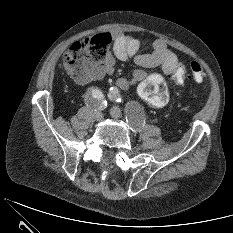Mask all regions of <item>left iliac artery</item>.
<instances>
[{"label": "left iliac artery", "mask_w": 233, "mask_h": 233, "mask_svg": "<svg viewBox=\"0 0 233 233\" xmlns=\"http://www.w3.org/2000/svg\"><path fill=\"white\" fill-rule=\"evenodd\" d=\"M110 100L115 101L117 103L122 102V97L120 95V91L116 87L110 88V92L108 94Z\"/></svg>", "instance_id": "left-iliac-artery-1"}]
</instances>
